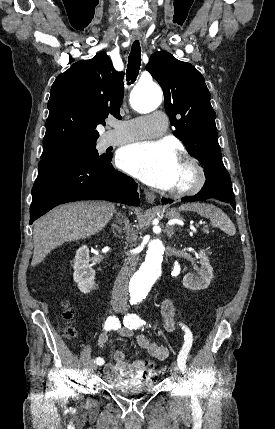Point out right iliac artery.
Masks as SVG:
<instances>
[{"instance_id":"1","label":"right iliac artery","mask_w":275,"mask_h":429,"mask_svg":"<svg viewBox=\"0 0 275 429\" xmlns=\"http://www.w3.org/2000/svg\"><path fill=\"white\" fill-rule=\"evenodd\" d=\"M120 327H121V324H120L118 318L115 317V316L108 317L107 320H106V322H105V324H104V329L106 331H110L112 329L113 330H117ZM95 361H96V363L98 365H103L104 364V360L101 357H97Z\"/></svg>"}]
</instances>
